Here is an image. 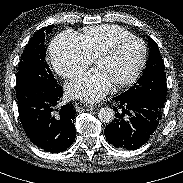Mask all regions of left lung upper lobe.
Returning a JSON list of instances; mask_svg holds the SVG:
<instances>
[{
    "label": "left lung upper lobe",
    "instance_id": "obj_1",
    "mask_svg": "<svg viewBox=\"0 0 183 183\" xmlns=\"http://www.w3.org/2000/svg\"><path fill=\"white\" fill-rule=\"evenodd\" d=\"M148 42L150 54L146 68L137 83L123 94L148 101L163 109L167 94L165 66L156 42L151 38Z\"/></svg>",
    "mask_w": 183,
    "mask_h": 183
}]
</instances>
